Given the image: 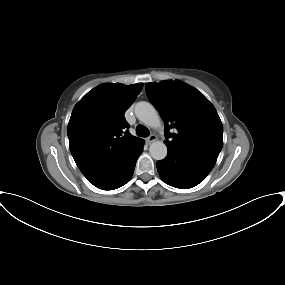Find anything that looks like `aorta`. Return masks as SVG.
I'll return each instance as SVG.
<instances>
[{
	"label": "aorta",
	"mask_w": 285,
	"mask_h": 285,
	"mask_svg": "<svg viewBox=\"0 0 285 285\" xmlns=\"http://www.w3.org/2000/svg\"><path fill=\"white\" fill-rule=\"evenodd\" d=\"M134 111L136 117L146 126L151 128L161 127L160 116L151 103L138 102ZM149 153L153 159L162 160L167 155V146L162 141H155L150 145Z\"/></svg>",
	"instance_id": "762f6f07"
}]
</instances>
